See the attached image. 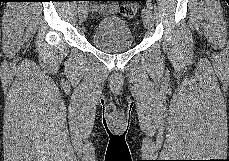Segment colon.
Listing matches in <instances>:
<instances>
[{"mask_svg": "<svg viewBox=\"0 0 229 161\" xmlns=\"http://www.w3.org/2000/svg\"><path fill=\"white\" fill-rule=\"evenodd\" d=\"M137 6L133 3H128L122 6L121 14L126 18H131L136 14Z\"/></svg>", "mask_w": 229, "mask_h": 161, "instance_id": "1", "label": "colon"}]
</instances>
